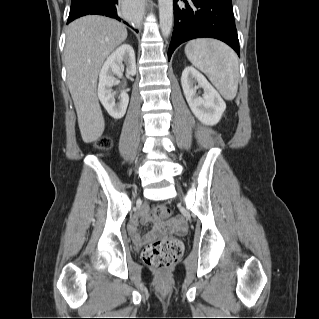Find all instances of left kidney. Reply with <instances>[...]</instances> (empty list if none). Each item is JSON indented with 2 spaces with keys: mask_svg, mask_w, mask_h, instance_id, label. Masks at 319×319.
Returning a JSON list of instances; mask_svg holds the SVG:
<instances>
[{
  "mask_svg": "<svg viewBox=\"0 0 319 319\" xmlns=\"http://www.w3.org/2000/svg\"><path fill=\"white\" fill-rule=\"evenodd\" d=\"M181 85L193 114L203 124L216 125L226 109V104L207 79L194 67L187 66L182 72ZM198 88L203 89L202 96H198Z\"/></svg>",
  "mask_w": 319,
  "mask_h": 319,
  "instance_id": "1",
  "label": "left kidney"
}]
</instances>
